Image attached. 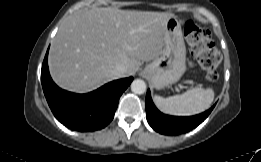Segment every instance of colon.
I'll list each match as a JSON object with an SVG mask.
<instances>
[{
  "label": "colon",
  "mask_w": 261,
  "mask_h": 162,
  "mask_svg": "<svg viewBox=\"0 0 261 162\" xmlns=\"http://www.w3.org/2000/svg\"><path fill=\"white\" fill-rule=\"evenodd\" d=\"M184 35L192 54L204 70L205 78L210 82L215 81L221 54L213 48L210 31L188 21L184 26Z\"/></svg>",
  "instance_id": "5ec220e1"
}]
</instances>
